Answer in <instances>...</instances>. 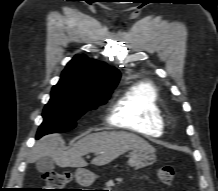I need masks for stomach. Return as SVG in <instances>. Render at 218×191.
I'll use <instances>...</instances> for the list:
<instances>
[{
  "label": "stomach",
  "mask_w": 218,
  "mask_h": 191,
  "mask_svg": "<svg viewBox=\"0 0 218 191\" xmlns=\"http://www.w3.org/2000/svg\"><path fill=\"white\" fill-rule=\"evenodd\" d=\"M155 161L154 151L135 149L130 152L128 164L132 168L139 169L152 165ZM75 178L82 186H89L96 180L97 176L90 171L78 169L75 172Z\"/></svg>",
  "instance_id": "stomach-1"
}]
</instances>
